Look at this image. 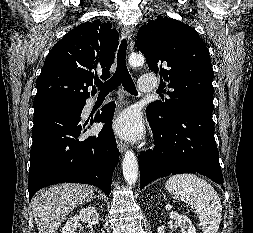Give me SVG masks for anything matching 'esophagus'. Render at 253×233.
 Here are the masks:
<instances>
[{
  "label": "esophagus",
  "mask_w": 253,
  "mask_h": 233,
  "mask_svg": "<svg viewBox=\"0 0 253 233\" xmlns=\"http://www.w3.org/2000/svg\"><path fill=\"white\" fill-rule=\"evenodd\" d=\"M133 31H134V27L130 26V25L124 26L122 28V35L128 39L130 48L132 47L131 39H132ZM116 142H117V146H118L119 151L121 153H123L126 150L125 143L120 139H117Z\"/></svg>",
  "instance_id": "esophagus-1"
}]
</instances>
